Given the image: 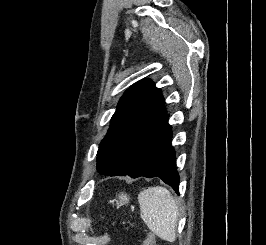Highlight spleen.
<instances>
[{"label": "spleen", "instance_id": "obj_1", "mask_svg": "<svg viewBox=\"0 0 266 245\" xmlns=\"http://www.w3.org/2000/svg\"><path fill=\"white\" fill-rule=\"evenodd\" d=\"M141 219L162 241H176L179 209L170 191L164 187H148L138 195Z\"/></svg>", "mask_w": 266, "mask_h": 245}]
</instances>
